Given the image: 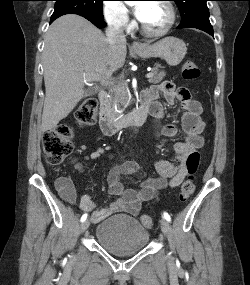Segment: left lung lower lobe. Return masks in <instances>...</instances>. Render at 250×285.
Segmentation results:
<instances>
[{
    "mask_svg": "<svg viewBox=\"0 0 250 285\" xmlns=\"http://www.w3.org/2000/svg\"><path fill=\"white\" fill-rule=\"evenodd\" d=\"M198 29H201V30L207 32L208 34H210L211 36H214L213 28H211V29L210 28H198Z\"/></svg>",
    "mask_w": 250,
    "mask_h": 285,
    "instance_id": "left-lung-lower-lobe-1",
    "label": "left lung lower lobe"
}]
</instances>
